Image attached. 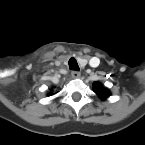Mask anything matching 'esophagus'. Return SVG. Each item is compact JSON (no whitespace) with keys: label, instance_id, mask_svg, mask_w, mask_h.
I'll return each mask as SVG.
<instances>
[{"label":"esophagus","instance_id":"1","mask_svg":"<svg viewBox=\"0 0 145 145\" xmlns=\"http://www.w3.org/2000/svg\"><path fill=\"white\" fill-rule=\"evenodd\" d=\"M80 72L79 71H72L71 72V76L72 78L76 79V78H79L80 77Z\"/></svg>","mask_w":145,"mask_h":145}]
</instances>
